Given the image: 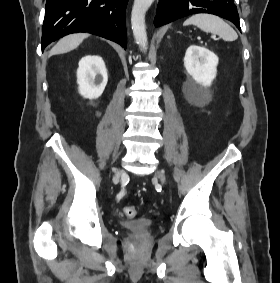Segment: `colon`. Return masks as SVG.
I'll list each match as a JSON object with an SVG mask.
<instances>
[{
  "label": "colon",
  "instance_id": "1",
  "mask_svg": "<svg viewBox=\"0 0 280 283\" xmlns=\"http://www.w3.org/2000/svg\"><path fill=\"white\" fill-rule=\"evenodd\" d=\"M124 213L127 217L133 218L137 215V210L134 207H126Z\"/></svg>",
  "mask_w": 280,
  "mask_h": 283
}]
</instances>
